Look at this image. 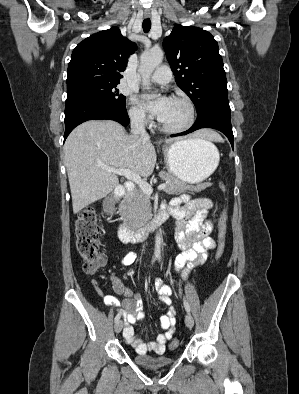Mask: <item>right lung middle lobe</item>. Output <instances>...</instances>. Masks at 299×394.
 Wrapping results in <instances>:
<instances>
[{"label":"right lung middle lobe","instance_id":"obj_1","mask_svg":"<svg viewBox=\"0 0 299 394\" xmlns=\"http://www.w3.org/2000/svg\"><path fill=\"white\" fill-rule=\"evenodd\" d=\"M117 82H92L67 88V99L91 97L111 104L117 109H124L126 97L116 88Z\"/></svg>","mask_w":299,"mask_h":394}]
</instances>
